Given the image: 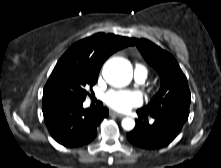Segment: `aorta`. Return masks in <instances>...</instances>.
Instances as JSON below:
<instances>
[{"label": "aorta", "mask_w": 221, "mask_h": 168, "mask_svg": "<svg viewBox=\"0 0 221 168\" xmlns=\"http://www.w3.org/2000/svg\"><path fill=\"white\" fill-rule=\"evenodd\" d=\"M132 76V65L124 58H112L108 60L103 67V77L108 84L114 87L128 85L132 80ZM121 124L126 131H130L135 127V121L130 117L124 118Z\"/></svg>", "instance_id": "1"}]
</instances>
